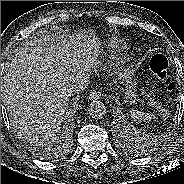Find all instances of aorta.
Returning a JSON list of instances; mask_svg holds the SVG:
<instances>
[{"label": "aorta", "mask_w": 184, "mask_h": 184, "mask_svg": "<svg viewBox=\"0 0 184 184\" xmlns=\"http://www.w3.org/2000/svg\"><path fill=\"white\" fill-rule=\"evenodd\" d=\"M89 115L93 119H102L107 112L106 106L101 101H92L88 108Z\"/></svg>", "instance_id": "1"}]
</instances>
